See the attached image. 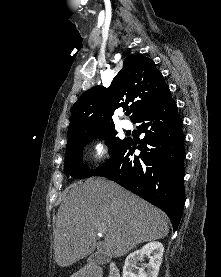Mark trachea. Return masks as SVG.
I'll use <instances>...</instances> for the list:
<instances>
[{
	"instance_id": "obj_1",
	"label": "trachea",
	"mask_w": 221,
	"mask_h": 277,
	"mask_svg": "<svg viewBox=\"0 0 221 277\" xmlns=\"http://www.w3.org/2000/svg\"><path fill=\"white\" fill-rule=\"evenodd\" d=\"M130 113H131L130 111H127V112H126V115H130Z\"/></svg>"
}]
</instances>
